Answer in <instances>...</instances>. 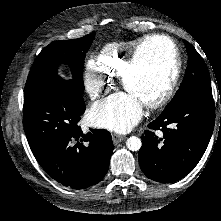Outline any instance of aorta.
I'll return each mask as SVG.
<instances>
[{"label":"aorta","mask_w":221,"mask_h":221,"mask_svg":"<svg viewBox=\"0 0 221 221\" xmlns=\"http://www.w3.org/2000/svg\"><path fill=\"white\" fill-rule=\"evenodd\" d=\"M126 146L131 151H138L142 146L141 139L136 136H131L127 139Z\"/></svg>","instance_id":"obj_1"}]
</instances>
